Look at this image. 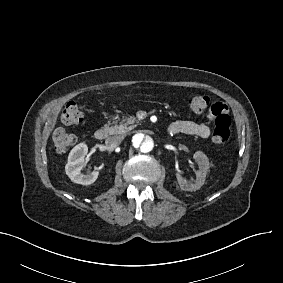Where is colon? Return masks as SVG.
Here are the masks:
<instances>
[{"mask_svg":"<svg viewBox=\"0 0 283 283\" xmlns=\"http://www.w3.org/2000/svg\"><path fill=\"white\" fill-rule=\"evenodd\" d=\"M209 98L204 94H194L188 100V110L192 114H202L208 107ZM219 103V102H218ZM215 103L214 105H217ZM83 120V113L78 105L68 104L62 111L61 123L67 126L78 125ZM231 118L224 114L214 121L212 141L215 145L221 147L230 136ZM55 148L59 152H66L75 144V137L72 133L64 129H58L53 133Z\"/></svg>","mask_w":283,"mask_h":283,"instance_id":"5ec220e1","label":"colon"}]
</instances>
